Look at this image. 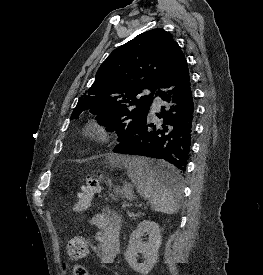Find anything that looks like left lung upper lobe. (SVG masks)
Returning a JSON list of instances; mask_svg holds the SVG:
<instances>
[{"label":"left lung upper lobe","instance_id":"obj_1","mask_svg":"<svg viewBox=\"0 0 263 275\" xmlns=\"http://www.w3.org/2000/svg\"><path fill=\"white\" fill-rule=\"evenodd\" d=\"M178 49V43L161 28L141 33L118 47L99 67L70 119L89 111L107 130L116 131L119 142L130 137L146 119L155 89ZM144 89L153 94L137 98Z\"/></svg>","mask_w":263,"mask_h":275}]
</instances>
